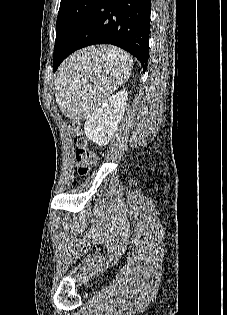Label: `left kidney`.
Wrapping results in <instances>:
<instances>
[{"label": "left kidney", "instance_id": "left-kidney-1", "mask_svg": "<svg viewBox=\"0 0 227 315\" xmlns=\"http://www.w3.org/2000/svg\"><path fill=\"white\" fill-rule=\"evenodd\" d=\"M128 93L123 90L105 100L85 122L86 136L99 146H105L123 118Z\"/></svg>", "mask_w": 227, "mask_h": 315}]
</instances>
